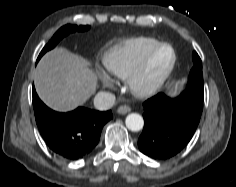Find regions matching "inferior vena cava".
Segmentation results:
<instances>
[{
  "label": "inferior vena cava",
  "instance_id": "obj_1",
  "mask_svg": "<svg viewBox=\"0 0 236 187\" xmlns=\"http://www.w3.org/2000/svg\"><path fill=\"white\" fill-rule=\"evenodd\" d=\"M115 103V96L109 92H99L94 98V106L100 111L110 109Z\"/></svg>",
  "mask_w": 236,
  "mask_h": 187
}]
</instances>
